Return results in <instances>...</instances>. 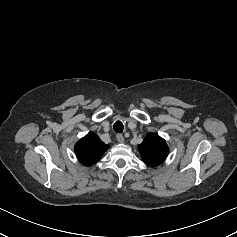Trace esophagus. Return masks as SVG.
<instances>
[{"instance_id":"obj_1","label":"esophagus","mask_w":237,"mask_h":237,"mask_svg":"<svg viewBox=\"0 0 237 237\" xmlns=\"http://www.w3.org/2000/svg\"><path fill=\"white\" fill-rule=\"evenodd\" d=\"M116 138H117V141H118L119 143H123V142H124V137H123L122 134H117V135H116Z\"/></svg>"}]
</instances>
